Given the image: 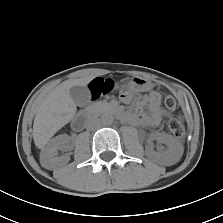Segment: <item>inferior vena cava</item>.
Segmentation results:
<instances>
[{"instance_id": "1", "label": "inferior vena cava", "mask_w": 223, "mask_h": 223, "mask_svg": "<svg viewBox=\"0 0 223 223\" xmlns=\"http://www.w3.org/2000/svg\"><path fill=\"white\" fill-rule=\"evenodd\" d=\"M101 121L98 118H93L87 121L86 128L87 130H95L100 127Z\"/></svg>"}]
</instances>
